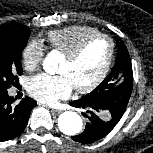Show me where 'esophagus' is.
<instances>
[{
    "label": "esophagus",
    "instance_id": "1",
    "mask_svg": "<svg viewBox=\"0 0 153 153\" xmlns=\"http://www.w3.org/2000/svg\"><path fill=\"white\" fill-rule=\"evenodd\" d=\"M51 112L53 114H60L62 111L61 110H57V109H51Z\"/></svg>",
    "mask_w": 153,
    "mask_h": 153
}]
</instances>
